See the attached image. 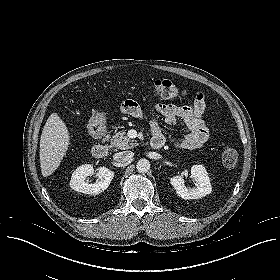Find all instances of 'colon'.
Here are the masks:
<instances>
[{
  "mask_svg": "<svg viewBox=\"0 0 280 280\" xmlns=\"http://www.w3.org/2000/svg\"><path fill=\"white\" fill-rule=\"evenodd\" d=\"M153 87L155 94L164 99L187 95L186 91H181L173 82L166 79H157ZM130 105L129 102L124 103L123 110L127 111ZM221 159L224 166L232 167L237 162L238 152L233 147H226L222 151Z\"/></svg>",
  "mask_w": 280,
  "mask_h": 280,
  "instance_id": "1",
  "label": "colon"
}]
</instances>
